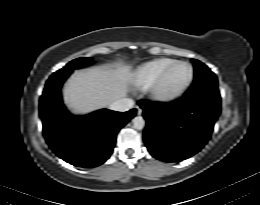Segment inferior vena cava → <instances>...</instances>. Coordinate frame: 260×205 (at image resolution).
Here are the masks:
<instances>
[{
  "label": "inferior vena cava",
  "mask_w": 260,
  "mask_h": 205,
  "mask_svg": "<svg viewBox=\"0 0 260 205\" xmlns=\"http://www.w3.org/2000/svg\"><path fill=\"white\" fill-rule=\"evenodd\" d=\"M134 105V101L130 98H121L112 104H110L109 108L114 111H128Z\"/></svg>",
  "instance_id": "602c4592"
}]
</instances>
